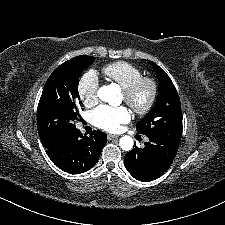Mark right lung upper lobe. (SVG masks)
<instances>
[{
  "instance_id": "right-lung-upper-lobe-1",
  "label": "right lung upper lobe",
  "mask_w": 225,
  "mask_h": 225,
  "mask_svg": "<svg viewBox=\"0 0 225 225\" xmlns=\"http://www.w3.org/2000/svg\"><path fill=\"white\" fill-rule=\"evenodd\" d=\"M58 142H48V143H44L43 146L48 149L52 146H54L55 144H57Z\"/></svg>"
}]
</instances>
